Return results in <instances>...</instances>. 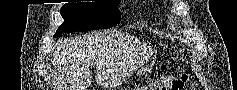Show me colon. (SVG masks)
<instances>
[{
  "instance_id": "obj_1",
  "label": "colon",
  "mask_w": 237,
  "mask_h": 90,
  "mask_svg": "<svg viewBox=\"0 0 237 90\" xmlns=\"http://www.w3.org/2000/svg\"><path fill=\"white\" fill-rule=\"evenodd\" d=\"M187 78L185 72L178 75L161 76L149 83L137 85L133 90H180L183 89Z\"/></svg>"
}]
</instances>
